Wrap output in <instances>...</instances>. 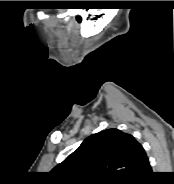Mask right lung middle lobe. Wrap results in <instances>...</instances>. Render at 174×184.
<instances>
[{"label":"right lung middle lobe","instance_id":"1","mask_svg":"<svg viewBox=\"0 0 174 184\" xmlns=\"http://www.w3.org/2000/svg\"><path fill=\"white\" fill-rule=\"evenodd\" d=\"M122 182L116 183V184H121Z\"/></svg>","mask_w":174,"mask_h":184}]
</instances>
